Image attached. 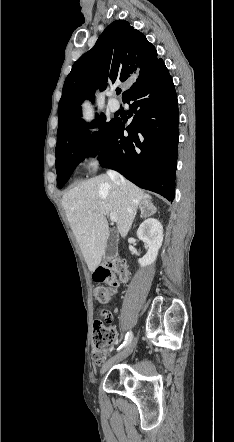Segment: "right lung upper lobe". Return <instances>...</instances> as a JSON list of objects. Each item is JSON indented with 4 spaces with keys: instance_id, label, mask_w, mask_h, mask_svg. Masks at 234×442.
Here are the masks:
<instances>
[{
    "instance_id": "right-lung-upper-lobe-1",
    "label": "right lung upper lobe",
    "mask_w": 234,
    "mask_h": 442,
    "mask_svg": "<svg viewBox=\"0 0 234 442\" xmlns=\"http://www.w3.org/2000/svg\"><path fill=\"white\" fill-rule=\"evenodd\" d=\"M163 62L155 47L125 20L111 23L95 46L83 54L67 76L58 107L56 148L67 142L83 124L81 103L94 100V90L137 77L136 82ZM128 90L123 93V99Z\"/></svg>"
}]
</instances>
